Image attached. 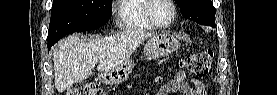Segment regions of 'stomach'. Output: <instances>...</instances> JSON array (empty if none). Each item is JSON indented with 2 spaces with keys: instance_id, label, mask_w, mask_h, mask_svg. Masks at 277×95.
Wrapping results in <instances>:
<instances>
[{
  "instance_id": "obj_1",
  "label": "stomach",
  "mask_w": 277,
  "mask_h": 95,
  "mask_svg": "<svg viewBox=\"0 0 277 95\" xmlns=\"http://www.w3.org/2000/svg\"><path fill=\"white\" fill-rule=\"evenodd\" d=\"M178 46L179 40L174 35H154L150 37L144 45V57L147 60L165 57L172 54ZM133 67V62L127 60L114 70L103 73L101 75V80L108 85H118L129 78Z\"/></svg>"
}]
</instances>
